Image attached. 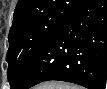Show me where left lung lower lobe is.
I'll use <instances>...</instances> for the list:
<instances>
[{
  "label": "left lung lower lobe",
  "instance_id": "left-lung-lower-lobe-1",
  "mask_svg": "<svg viewBox=\"0 0 107 89\" xmlns=\"http://www.w3.org/2000/svg\"><path fill=\"white\" fill-rule=\"evenodd\" d=\"M107 0H86L41 48L13 89L49 80L105 89Z\"/></svg>",
  "mask_w": 107,
  "mask_h": 89
}]
</instances>
